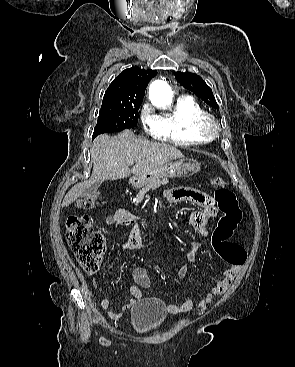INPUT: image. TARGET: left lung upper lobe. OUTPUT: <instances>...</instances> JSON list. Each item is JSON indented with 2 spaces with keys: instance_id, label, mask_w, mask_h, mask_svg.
<instances>
[{
  "instance_id": "obj_1",
  "label": "left lung upper lobe",
  "mask_w": 295,
  "mask_h": 367,
  "mask_svg": "<svg viewBox=\"0 0 295 367\" xmlns=\"http://www.w3.org/2000/svg\"><path fill=\"white\" fill-rule=\"evenodd\" d=\"M175 78L185 89L192 91L209 106L219 109L211 88L200 76L190 72H176Z\"/></svg>"
}]
</instances>
